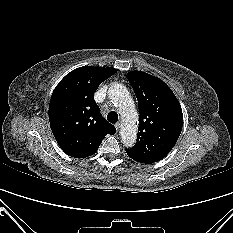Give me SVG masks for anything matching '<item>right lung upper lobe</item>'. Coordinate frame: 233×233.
Returning a JSON list of instances; mask_svg holds the SVG:
<instances>
[{"label":"right lung upper lobe","mask_w":233,"mask_h":233,"mask_svg":"<svg viewBox=\"0 0 233 233\" xmlns=\"http://www.w3.org/2000/svg\"><path fill=\"white\" fill-rule=\"evenodd\" d=\"M116 72L112 67H80L68 73L54 89L49 104L50 127L67 155L91 156L106 134H115L116 128L100 114L94 92Z\"/></svg>","instance_id":"1"}]
</instances>
